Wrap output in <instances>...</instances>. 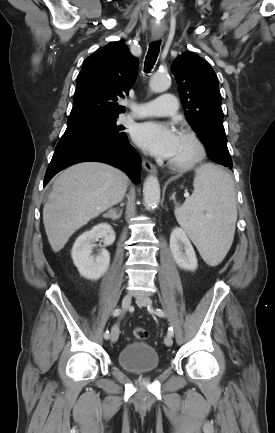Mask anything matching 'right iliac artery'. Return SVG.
Returning a JSON list of instances; mask_svg holds the SVG:
<instances>
[{
	"label": "right iliac artery",
	"mask_w": 275,
	"mask_h": 433,
	"mask_svg": "<svg viewBox=\"0 0 275 433\" xmlns=\"http://www.w3.org/2000/svg\"><path fill=\"white\" fill-rule=\"evenodd\" d=\"M120 314V309H115L114 311H113V316H118ZM109 337H110V334H109V331L107 330L105 333H104V338L105 339H109Z\"/></svg>",
	"instance_id": "1"
}]
</instances>
